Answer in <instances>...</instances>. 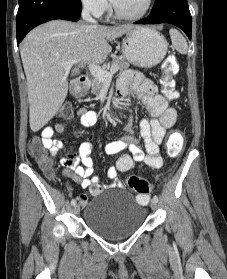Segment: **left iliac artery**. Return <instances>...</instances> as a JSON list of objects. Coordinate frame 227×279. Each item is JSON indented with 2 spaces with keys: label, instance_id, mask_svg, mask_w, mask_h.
Wrapping results in <instances>:
<instances>
[{
  "label": "left iliac artery",
  "instance_id": "44dca946",
  "mask_svg": "<svg viewBox=\"0 0 227 279\" xmlns=\"http://www.w3.org/2000/svg\"><path fill=\"white\" fill-rule=\"evenodd\" d=\"M153 200H155V201L158 202V197L155 195V196L153 197Z\"/></svg>",
  "mask_w": 227,
  "mask_h": 279
}]
</instances>
